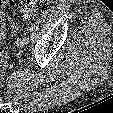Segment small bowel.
Listing matches in <instances>:
<instances>
[{"label":"small bowel","instance_id":"1","mask_svg":"<svg viewBox=\"0 0 113 113\" xmlns=\"http://www.w3.org/2000/svg\"><path fill=\"white\" fill-rule=\"evenodd\" d=\"M4 24H5V19L3 17L2 12L0 11V44L4 37V28H5Z\"/></svg>","mask_w":113,"mask_h":113}]
</instances>
